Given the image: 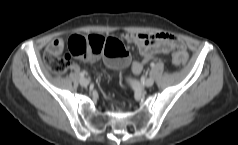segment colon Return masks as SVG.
Instances as JSON below:
<instances>
[{"mask_svg":"<svg viewBox=\"0 0 238 145\" xmlns=\"http://www.w3.org/2000/svg\"><path fill=\"white\" fill-rule=\"evenodd\" d=\"M70 54L83 59H94L103 55L109 66L118 68L129 63V53L124 44L116 38H105L98 35L72 36L69 39ZM45 64L55 74L64 73L70 63V55L64 57L49 53L44 55ZM172 62L176 66H183L187 62V54L180 50L172 55Z\"/></svg>","mask_w":238,"mask_h":145,"instance_id":"colon-1","label":"colon"}]
</instances>
